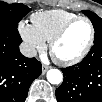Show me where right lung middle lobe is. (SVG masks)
<instances>
[{"mask_svg":"<svg viewBox=\"0 0 102 102\" xmlns=\"http://www.w3.org/2000/svg\"><path fill=\"white\" fill-rule=\"evenodd\" d=\"M30 10L24 4L0 2V33L3 31L18 32L19 21Z\"/></svg>","mask_w":102,"mask_h":102,"instance_id":"dd1d6c3e","label":"right lung middle lobe"}]
</instances>
